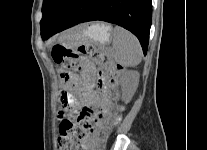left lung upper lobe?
<instances>
[{
	"label": "left lung upper lobe",
	"instance_id": "5c2ea615",
	"mask_svg": "<svg viewBox=\"0 0 207 150\" xmlns=\"http://www.w3.org/2000/svg\"><path fill=\"white\" fill-rule=\"evenodd\" d=\"M74 0H43L41 34L48 32Z\"/></svg>",
	"mask_w": 207,
	"mask_h": 150
}]
</instances>
